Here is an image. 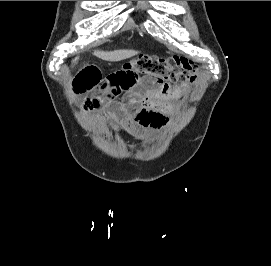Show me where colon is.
Here are the masks:
<instances>
[{"instance_id":"5ec220e1","label":"colon","mask_w":271,"mask_h":266,"mask_svg":"<svg viewBox=\"0 0 271 266\" xmlns=\"http://www.w3.org/2000/svg\"><path fill=\"white\" fill-rule=\"evenodd\" d=\"M125 67L138 70L141 74L158 77L166 82L189 84L196 78L193 66L157 56L142 55L125 64Z\"/></svg>"}]
</instances>
